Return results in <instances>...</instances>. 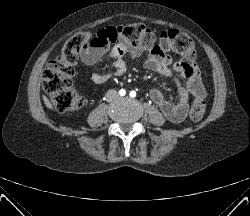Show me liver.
Listing matches in <instances>:
<instances>
[{"mask_svg": "<svg viewBox=\"0 0 250 216\" xmlns=\"http://www.w3.org/2000/svg\"><path fill=\"white\" fill-rule=\"evenodd\" d=\"M43 100H44V103L46 105L47 108L49 109H52V104L50 103V101L48 100V98L46 96H43Z\"/></svg>", "mask_w": 250, "mask_h": 216, "instance_id": "liver-1", "label": "liver"}]
</instances>
